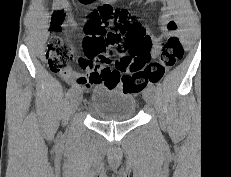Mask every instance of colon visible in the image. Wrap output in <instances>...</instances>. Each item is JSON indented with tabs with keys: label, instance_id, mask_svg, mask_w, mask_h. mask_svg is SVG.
<instances>
[{
	"label": "colon",
	"instance_id": "colon-1",
	"mask_svg": "<svg viewBox=\"0 0 231 177\" xmlns=\"http://www.w3.org/2000/svg\"><path fill=\"white\" fill-rule=\"evenodd\" d=\"M79 1L92 4L95 0ZM60 21L59 16L53 18L52 35L46 49V59L53 72L67 70L74 57L71 47L56 34L60 30ZM167 28L175 29L176 23L168 21ZM84 33L85 57L104 67L102 73L110 83L120 85L131 93L142 91L149 82H160L183 55L178 37L170 36L162 45L158 60L151 61L150 36L140 24L129 19L126 9L113 8L108 4L92 11ZM112 61L115 69L109 67Z\"/></svg>",
	"mask_w": 231,
	"mask_h": 177
}]
</instances>
